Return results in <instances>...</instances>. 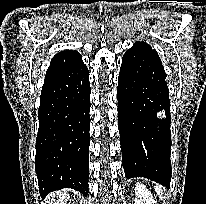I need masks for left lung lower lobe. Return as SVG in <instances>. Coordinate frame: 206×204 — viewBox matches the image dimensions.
Wrapping results in <instances>:
<instances>
[{
    "label": "left lung lower lobe",
    "mask_w": 206,
    "mask_h": 204,
    "mask_svg": "<svg viewBox=\"0 0 206 204\" xmlns=\"http://www.w3.org/2000/svg\"><path fill=\"white\" fill-rule=\"evenodd\" d=\"M161 60L132 67L123 57L118 79V127L127 178L145 177L169 189L170 99Z\"/></svg>",
    "instance_id": "1"
}]
</instances>
